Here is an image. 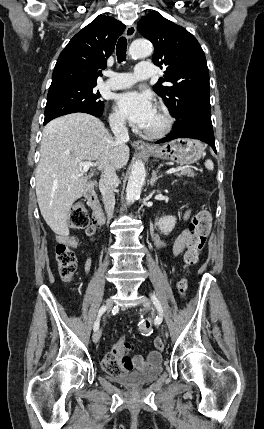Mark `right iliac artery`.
Segmentation results:
<instances>
[{
	"mask_svg": "<svg viewBox=\"0 0 264 429\" xmlns=\"http://www.w3.org/2000/svg\"><path fill=\"white\" fill-rule=\"evenodd\" d=\"M106 306H102L100 309H99V312H98V317H97V319H96V321H95V323H94V331H96V330H98V328H99V321H100V317L102 316V314L106 311Z\"/></svg>",
	"mask_w": 264,
	"mask_h": 429,
	"instance_id": "1",
	"label": "right iliac artery"
}]
</instances>
